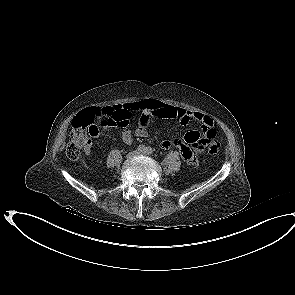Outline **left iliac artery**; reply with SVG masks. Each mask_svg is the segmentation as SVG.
Returning a JSON list of instances; mask_svg holds the SVG:
<instances>
[{"instance_id":"1","label":"left iliac artery","mask_w":295,"mask_h":295,"mask_svg":"<svg viewBox=\"0 0 295 295\" xmlns=\"http://www.w3.org/2000/svg\"><path fill=\"white\" fill-rule=\"evenodd\" d=\"M145 152L149 155V154H152L153 153V150H152L151 147H146Z\"/></svg>"}]
</instances>
